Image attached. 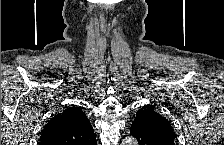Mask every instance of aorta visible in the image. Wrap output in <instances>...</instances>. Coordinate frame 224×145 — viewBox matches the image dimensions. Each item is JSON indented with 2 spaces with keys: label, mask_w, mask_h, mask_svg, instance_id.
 Listing matches in <instances>:
<instances>
[{
  "label": "aorta",
  "mask_w": 224,
  "mask_h": 145,
  "mask_svg": "<svg viewBox=\"0 0 224 145\" xmlns=\"http://www.w3.org/2000/svg\"><path fill=\"white\" fill-rule=\"evenodd\" d=\"M123 145H136L137 142L134 138L132 137H126L123 141H122Z\"/></svg>",
  "instance_id": "aorta-1"
}]
</instances>
